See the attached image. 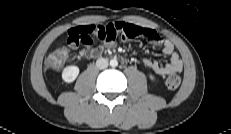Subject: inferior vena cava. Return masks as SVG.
Listing matches in <instances>:
<instances>
[{
  "label": "inferior vena cava",
  "mask_w": 231,
  "mask_h": 134,
  "mask_svg": "<svg viewBox=\"0 0 231 134\" xmlns=\"http://www.w3.org/2000/svg\"><path fill=\"white\" fill-rule=\"evenodd\" d=\"M108 66V60L105 59V58H99L97 61H96V67L98 69H105L107 68Z\"/></svg>",
  "instance_id": "1"
}]
</instances>
